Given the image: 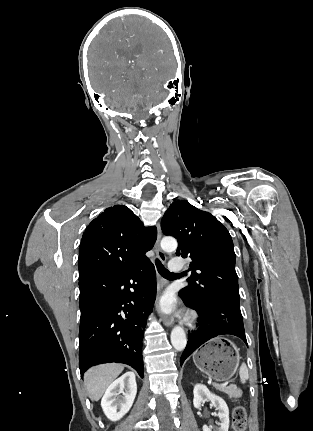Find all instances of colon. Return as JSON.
Masks as SVG:
<instances>
[{"instance_id":"5ec220e1","label":"colon","mask_w":313,"mask_h":431,"mask_svg":"<svg viewBox=\"0 0 313 431\" xmlns=\"http://www.w3.org/2000/svg\"><path fill=\"white\" fill-rule=\"evenodd\" d=\"M247 427V412L243 405L235 406L232 413V428L233 431H246Z\"/></svg>"}]
</instances>
